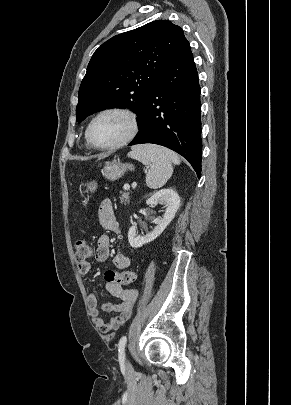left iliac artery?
Segmentation results:
<instances>
[{"instance_id": "obj_1", "label": "left iliac artery", "mask_w": 291, "mask_h": 405, "mask_svg": "<svg viewBox=\"0 0 291 405\" xmlns=\"http://www.w3.org/2000/svg\"><path fill=\"white\" fill-rule=\"evenodd\" d=\"M127 337L123 336L118 343V352H119V360L124 361L125 359V345H126Z\"/></svg>"}]
</instances>
